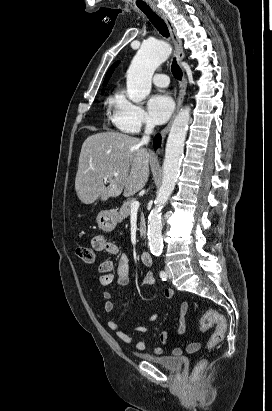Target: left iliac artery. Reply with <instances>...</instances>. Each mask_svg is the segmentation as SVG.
I'll list each match as a JSON object with an SVG mask.
<instances>
[{
    "label": "left iliac artery",
    "mask_w": 272,
    "mask_h": 411,
    "mask_svg": "<svg viewBox=\"0 0 272 411\" xmlns=\"http://www.w3.org/2000/svg\"><path fill=\"white\" fill-rule=\"evenodd\" d=\"M160 277L163 281H166V279H167V275L164 271H160Z\"/></svg>",
    "instance_id": "left-iliac-artery-1"
}]
</instances>
